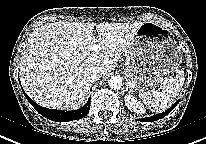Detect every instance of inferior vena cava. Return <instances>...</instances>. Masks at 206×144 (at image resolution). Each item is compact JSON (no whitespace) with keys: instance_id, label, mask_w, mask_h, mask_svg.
<instances>
[{"instance_id":"1","label":"inferior vena cava","mask_w":206,"mask_h":144,"mask_svg":"<svg viewBox=\"0 0 206 144\" xmlns=\"http://www.w3.org/2000/svg\"><path fill=\"white\" fill-rule=\"evenodd\" d=\"M101 75H102V73L99 69L92 68L87 73V80H88V82L98 81L101 78Z\"/></svg>"}]
</instances>
